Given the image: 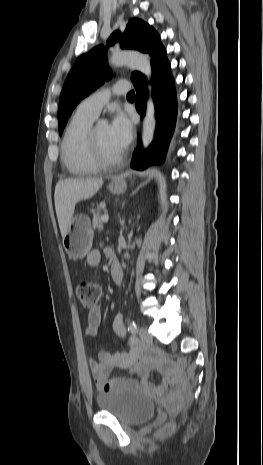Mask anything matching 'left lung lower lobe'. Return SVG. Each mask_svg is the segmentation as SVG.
<instances>
[{
    "label": "left lung lower lobe",
    "mask_w": 263,
    "mask_h": 465,
    "mask_svg": "<svg viewBox=\"0 0 263 465\" xmlns=\"http://www.w3.org/2000/svg\"><path fill=\"white\" fill-rule=\"evenodd\" d=\"M153 71V97L156 104L157 132L154 142L146 152L142 151L141 143L133 155L131 167L144 169L150 164L162 163L172 136L176 116L177 97L175 82L171 74V65L167 59L166 50L163 46L158 47L151 55ZM132 82L136 89L135 106L143 117L146 109V78L138 73Z\"/></svg>",
    "instance_id": "0a47b994"
}]
</instances>
